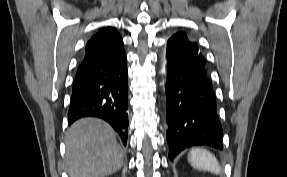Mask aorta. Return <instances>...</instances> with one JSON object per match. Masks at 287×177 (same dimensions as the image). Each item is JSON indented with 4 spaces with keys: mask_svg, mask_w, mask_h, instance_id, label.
<instances>
[{
    "mask_svg": "<svg viewBox=\"0 0 287 177\" xmlns=\"http://www.w3.org/2000/svg\"><path fill=\"white\" fill-rule=\"evenodd\" d=\"M162 72H163V73H165V67H164V65H163V69H162Z\"/></svg>",
    "mask_w": 287,
    "mask_h": 177,
    "instance_id": "aorta-1",
    "label": "aorta"
}]
</instances>
